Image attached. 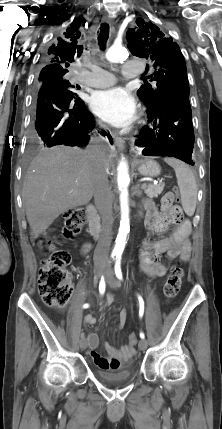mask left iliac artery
<instances>
[{
    "label": "left iliac artery",
    "instance_id": "44dca946",
    "mask_svg": "<svg viewBox=\"0 0 222 429\" xmlns=\"http://www.w3.org/2000/svg\"><path fill=\"white\" fill-rule=\"evenodd\" d=\"M120 261H121V256H117L114 270H115L116 277L119 280H122L123 277H122V271H121V266H120L121 262ZM138 301H139V316L142 317L144 314V300L140 295H138ZM140 338H142V339L145 338V334L143 332H140Z\"/></svg>",
    "mask_w": 222,
    "mask_h": 429
}]
</instances>
